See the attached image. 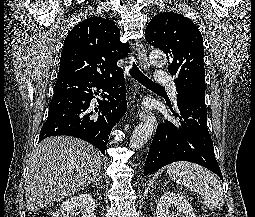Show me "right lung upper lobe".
<instances>
[{
    "label": "right lung upper lobe",
    "instance_id": "1",
    "mask_svg": "<svg viewBox=\"0 0 255 217\" xmlns=\"http://www.w3.org/2000/svg\"><path fill=\"white\" fill-rule=\"evenodd\" d=\"M129 51L120 41V30L108 19L90 17L67 35L57 80L108 79L122 74L117 61Z\"/></svg>",
    "mask_w": 255,
    "mask_h": 217
}]
</instances>
